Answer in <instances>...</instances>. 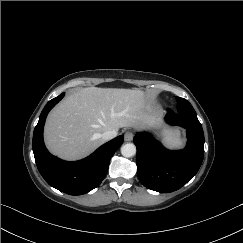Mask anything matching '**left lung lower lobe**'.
Segmentation results:
<instances>
[{
	"instance_id": "left-lung-lower-lobe-1",
	"label": "left lung lower lobe",
	"mask_w": 243,
	"mask_h": 243,
	"mask_svg": "<svg viewBox=\"0 0 243 243\" xmlns=\"http://www.w3.org/2000/svg\"><path fill=\"white\" fill-rule=\"evenodd\" d=\"M165 120L187 130L188 142L183 150H167L147 133H138L133 139L140 182L161 193L176 191L190 181L204 157V133L196 116L168 109Z\"/></svg>"
}]
</instances>
